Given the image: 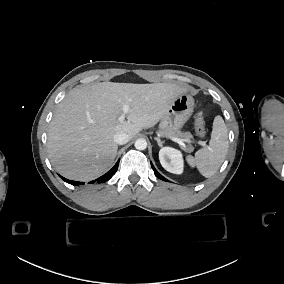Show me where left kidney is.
<instances>
[{
	"label": "left kidney",
	"mask_w": 284,
	"mask_h": 284,
	"mask_svg": "<svg viewBox=\"0 0 284 284\" xmlns=\"http://www.w3.org/2000/svg\"><path fill=\"white\" fill-rule=\"evenodd\" d=\"M159 160L162 167L170 173H183V158L181 151L171 148L163 147L159 151Z\"/></svg>",
	"instance_id": "left-kidney-1"
}]
</instances>
